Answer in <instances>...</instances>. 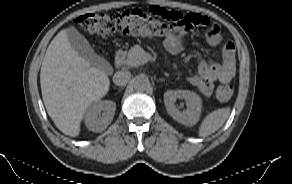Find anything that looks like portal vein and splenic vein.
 <instances>
[{"mask_svg": "<svg viewBox=\"0 0 292 184\" xmlns=\"http://www.w3.org/2000/svg\"><path fill=\"white\" fill-rule=\"evenodd\" d=\"M149 59H150V56L145 55L144 58H143V63L142 64L146 63Z\"/></svg>", "mask_w": 292, "mask_h": 184, "instance_id": "portal-vein-and-splenic-vein-1", "label": "portal vein and splenic vein"}]
</instances>
